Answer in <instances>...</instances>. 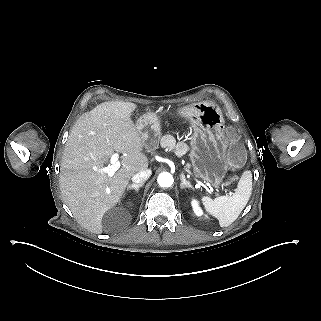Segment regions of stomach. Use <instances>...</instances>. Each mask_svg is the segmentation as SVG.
I'll return each instance as SVG.
<instances>
[{
    "instance_id": "stomach-1",
    "label": "stomach",
    "mask_w": 321,
    "mask_h": 321,
    "mask_svg": "<svg viewBox=\"0 0 321 321\" xmlns=\"http://www.w3.org/2000/svg\"><path fill=\"white\" fill-rule=\"evenodd\" d=\"M193 129L191 136L190 160L196 177L220 183L226 175L228 166L223 155L225 120L221 110L203 102L192 103L190 108L179 110ZM143 147L154 151L161 138V121L156 112H146L136 123Z\"/></svg>"
}]
</instances>
